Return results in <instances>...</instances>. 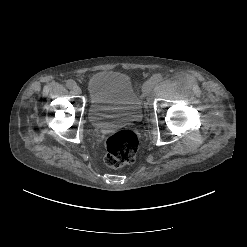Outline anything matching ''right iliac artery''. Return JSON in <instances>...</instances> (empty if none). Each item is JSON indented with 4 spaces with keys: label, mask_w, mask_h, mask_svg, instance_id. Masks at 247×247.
Returning a JSON list of instances; mask_svg holds the SVG:
<instances>
[{
    "label": "right iliac artery",
    "mask_w": 247,
    "mask_h": 247,
    "mask_svg": "<svg viewBox=\"0 0 247 247\" xmlns=\"http://www.w3.org/2000/svg\"><path fill=\"white\" fill-rule=\"evenodd\" d=\"M66 86H67L69 89H74V88L77 86V84H76V82L73 81V80H68V81L66 82Z\"/></svg>",
    "instance_id": "1"
}]
</instances>
